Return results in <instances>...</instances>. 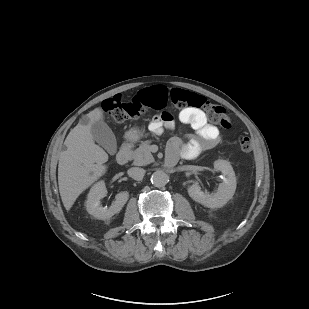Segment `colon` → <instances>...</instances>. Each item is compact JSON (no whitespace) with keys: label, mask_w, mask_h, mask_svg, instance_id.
<instances>
[{"label":"colon","mask_w":309,"mask_h":309,"mask_svg":"<svg viewBox=\"0 0 309 309\" xmlns=\"http://www.w3.org/2000/svg\"><path fill=\"white\" fill-rule=\"evenodd\" d=\"M168 103L176 108L203 109L213 122L225 129L231 127V119L226 110L211 103L205 96L181 88L169 89L162 85L145 89L128 101L115 95L102 103V109L116 122H123L139 117L148 109L161 111ZM238 145L243 152H249L252 148L251 139L247 136H240Z\"/></svg>","instance_id":"obj_1"}]
</instances>
